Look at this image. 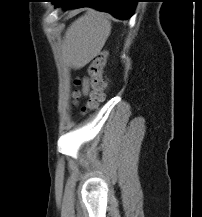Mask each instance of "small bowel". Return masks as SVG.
<instances>
[{
  "label": "small bowel",
  "mask_w": 202,
  "mask_h": 217,
  "mask_svg": "<svg viewBox=\"0 0 202 217\" xmlns=\"http://www.w3.org/2000/svg\"><path fill=\"white\" fill-rule=\"evenodd\" d=\"M88 92H89V83H88L87 80H84V82H83V93L88 94Z\"/></svg>",
  "instance_id": "obj_1"
}]
</instances>
